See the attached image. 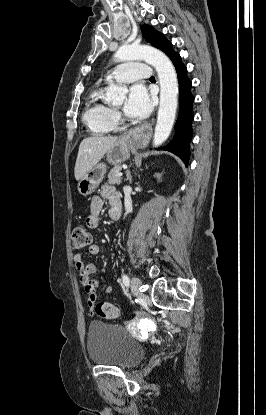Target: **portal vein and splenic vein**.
Here are the masks:
<instances>
[{
    "instance_id": "18ae733b",
    "label": "portal vein and splenic vein",
    "mask_w": 266,
    "mask_h": 415,
    "mask_svg": "<svg viewBox=\"0 0 266 415\" xmlns=\"http://www.w3.org/2000/svg\"><path fill=\"white\" fill-rule=\"evenodd\" d=\"M123 175V173L122 172H119V173H117V177H121Z\"/></svg>"
}]
</instances>
